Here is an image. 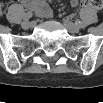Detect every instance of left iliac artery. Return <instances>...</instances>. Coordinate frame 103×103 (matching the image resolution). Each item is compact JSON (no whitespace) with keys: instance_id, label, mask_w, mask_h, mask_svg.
Returning <instances> with one entry per match:
<instances>
[{"instance_id":"44dca946","label":"left iliac artery","mask_w":103,"mask_h":103,"mask_svg":"<svg viewBox=\"0 0 103 103\" xmlns=\"http://www.w3.org/2000/svg\"><path fill=\"white\" fill-rule=\"evenodd\" d=\"M76 24H77L79 27H86V26H87V23H86V22H83V21H77Z\"/></svg>"}]
</instances>
